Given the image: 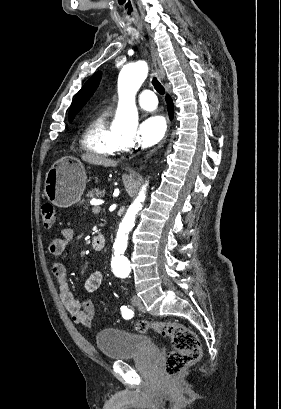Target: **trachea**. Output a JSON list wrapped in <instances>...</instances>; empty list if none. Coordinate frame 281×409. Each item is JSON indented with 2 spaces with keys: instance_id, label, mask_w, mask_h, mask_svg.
Here are the masks:
<instances>
[{
  "instance_id": "1",
  "label": "trachea",
  "mask_w": 281,
  "mask_h": 409,
  "mask_svg": "<svg viewBox=\"0 0 281 409\" xmlns=\"http://www.w3.org/2000/svg\"><path fill=\"white\" fill-rule=\"evenodd\" d=\"M152 84H153L155 90H156L160 95H164V94H165V89H164L163 85H161V83L159 82V80H158L155 76L153 77Z\"/></svg>"
}]
</instances>
